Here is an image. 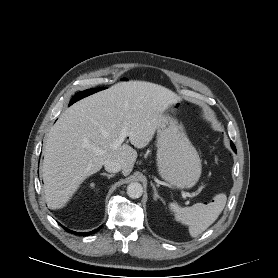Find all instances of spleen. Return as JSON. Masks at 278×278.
Returning a JSON list of instances; mask_svg holds the SVG:
<instances>
[{"instance_id":"obj_1","label":"spleen","mask_w":278,"mask_h":278,"mask_svg":"<svg viewBox=\"0 0 278 278\" xmlns=\"http://www.w3.org/2000/svg\"><path fill=\"white\" fill-rule=\"evenodd\" d=\"M226 201L225 194H218L214 197V202L207 205L197 203L191 207H181L177 203H170L169 208L175 214L176 220L188 225L190 235L196 237L215 222Z\"/></svg>"}]
</instances>
